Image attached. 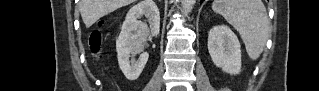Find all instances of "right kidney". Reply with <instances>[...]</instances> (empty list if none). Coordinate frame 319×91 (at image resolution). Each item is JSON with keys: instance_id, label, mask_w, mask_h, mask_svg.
Listing matches in <instances>:
<instances>
[{"instance_id": "ca27d5eb", "label": "right kidney", "mask_w": 319, "mask_h": 91, "mask_svg": "<svg viewBox=\"0 0 319 91\" xmlns=\"http://www.w3.org/2000/svg\"><path fill=\"white\" fill-rule=\"evenodd\" d=\"M145 17L149 22V27L145 22L140 21ZM160 30V13L153 0H143L133 6L127 13L122 25L121 32L116 39V51L120 69L129 80H136L143 71L148 61V53L143 52L138 60L132 58L130 54H137L143 51V42L146 38L157 36Z\"/></svg>"}]
</instances>
